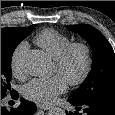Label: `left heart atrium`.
I'll return each mask as SVG.
<instances>
[{"label": "left heart atrium", "instance_id": "39dd6f15", "mask_svg": "<svg viewBox=\"0 0 115 115\" xmlns=\"http://www.w3.org/2000/svg\"><path fill=\"white\" fill-rule=\"evenodd\" d=\"M67 89L66 81L61 76H53L48 79H33L23 86L24 98L42 106L54 103L60 94Z\"/></svg>", "mask_w": 115, "mask_h": 115}]
</instances>
